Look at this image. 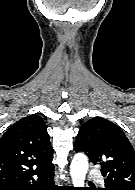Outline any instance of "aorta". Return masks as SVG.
Instances as JSON below:
<instances>
[{
  "label": "aorta",
  "mask_w": 135,
  "mask_h": 190,
  "mask_svg": "<svg viewBox=\"0 0 135 190\" xmlns=\"http://www.w3.org/2000/svg\"><path fill=\"white\" fill-rule=\"evenodd\" d=\"M88 170V158L83 153L74 156L71 166L70 175L74 187H83Z\"/></svg>",
  "instance_id": "obj_1"
}]
</instances>
